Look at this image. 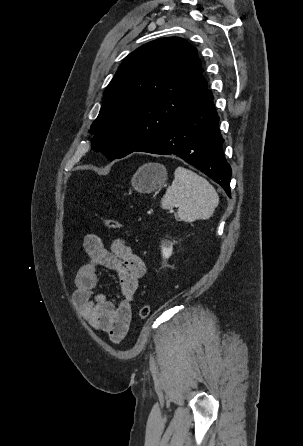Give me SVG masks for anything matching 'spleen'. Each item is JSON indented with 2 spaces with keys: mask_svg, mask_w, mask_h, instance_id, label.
<instances>
[{
  "mask_svg": "<svg viewBox=\"0 0 303 446\" xmlns=\"http://www.w3.org/2000/svg\"><path fill=\"white\" fill-rule=\"evenodd\" d=\"M214 187L203 177L184 167H177L172 185L161 200L163 209L178 206L177 218L185 222L209 219L218 206Z\"/></svg>",
  "mask_w": 303,
  "mask_h": 446,
  "instance_id": "spleen-1",
  "label": "spleen"
}]
</instances>
